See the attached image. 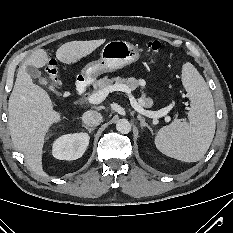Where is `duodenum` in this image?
Segmentation results:
<instances>
[{
	"instance_id": "1",
	"label": "duodenum",
	"mask_w": 233,
	"mask_h": 233,
	"mask_svg": "<svg viewBox=\"0 0 233 233\" xmlns=\"http://www.w3.org/2000/svg\"><path fill=\"white\" fill-rule=\"evenodd\" d=\"M86 88H87V80L84 79V78H80L76 82V93H77V95H79V96L83 95Z\"/></svg>"
}]
</instances>
